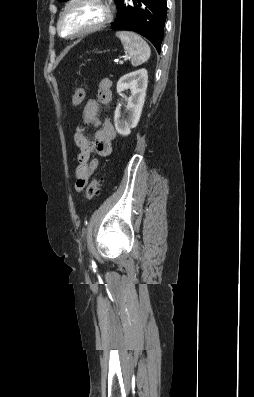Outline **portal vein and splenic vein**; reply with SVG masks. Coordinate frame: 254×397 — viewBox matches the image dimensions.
<instances>
[{
  "mask_svg": "<svg viewBox=\"0 0 254 397\" xmlns=\"http://www.w3.org/2000/svg\"><path fill=\"white\" fill-rule=\"evenodd\" d=\"M119 63H120V64H123L124 62H123V61H119Z\"/></svg>",
  "mask_w": 254,
  "mask_h": 397,
  "instance_id": "portal-vein-and-splenic-vein-1",
  "label": "portal vein and splenic vein"
}]
</instances>
